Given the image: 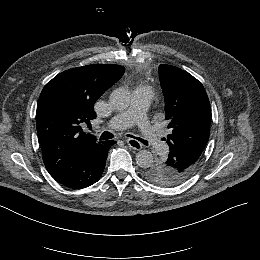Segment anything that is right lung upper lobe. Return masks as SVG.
<instances>
[{"mask_svg": "<svg viewBox=\"0 0 260 260\" xmlns=\"http://www.w3.org/2000/svg\"><path fill=\"white\" fill-rule=\"evenodd\" d=\"M120 65H87L55 76L43 88L36 112L43 162L52 177L100 150L81 125L96 117V100L124 74Z\"/></svg>", "mask_w": 260, "mask_h": 260, "instance_id": "cb5924a9", "label": "right lung upper lobe"}]
</instances>
